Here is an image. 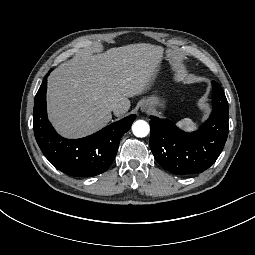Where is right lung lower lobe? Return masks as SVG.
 Returning <instances> with one entry per match:
<instances>
[{
    "instance_id": "obj_1",
    "label": "right lung lower lobe",
    "mask_w": 255,
    "mask_h": 255,
    "mask_svg": "<svg viewBox=\"0 0 255 255\" xmlns=\"http://www.w3.org/2000/svg\"><path fill=\"white\" fill-rule=\"evenodd\" d=\"M48 76V75H47ZM47 78L34 101L33 128L44 156L58 170L76 177L96 176L112 164L121 137L130 129L136 115H130L81 139H65L51 126L46 111Z\"/></svg>"
}]
</instances>
